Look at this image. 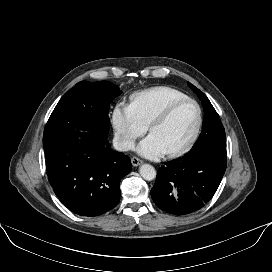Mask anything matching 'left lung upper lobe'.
I'll return each instance as SVG.
<instances>
[{"label": "left lung upper lobe", "instance_id": "left-lung-upper-lobe-1", "mask_svg": "<svg viewBox=\"0 0 272 272\" xmlns=\"http://www.w3.org/2000/svg\"><path fill=\"white\" fill-rule=\"evenodd\" d=\"M190 88L196 92L204 108L202 131L191 150H210L214 153L226 155V134L220 117L206 95L191 83Z\"/></svg>", "mask_w": 272, "mask_h": 272}]
</instances>
